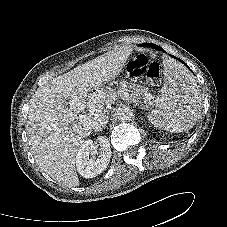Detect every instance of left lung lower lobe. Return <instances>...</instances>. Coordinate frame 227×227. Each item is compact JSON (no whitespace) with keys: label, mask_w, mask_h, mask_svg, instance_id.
<instances>
[{"label":"left lung lower lobe","mask_w":227,"mask_h":227,"mask_svg":"<svg viewBox=\"0 0 227 227\" xmlns=\"http://www.w3.org/2000/svg\"><path fill=\"white\" fill-rule=\"evenodd\" d=\"M144 46V45H143ZM148 46V45H147ZM152 47H154V48H156V49H159V50H162V48H160L159 46H157V45H152ZM176 59H178V58H176ZM178 60H180V59H178ZM181 61V60H180ZM183 62V61H182ZM184 63V62H183ZM185 64V63H184Z\"/></svg>","instance_id":"left-lung-lower-lobe-1"}]
</instances>
